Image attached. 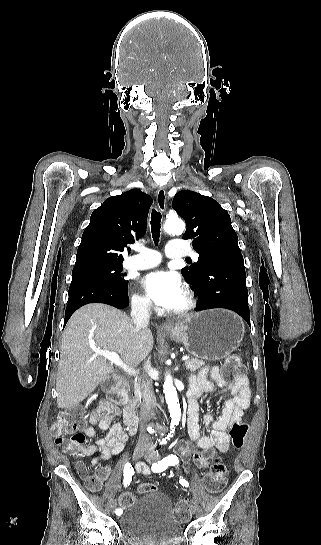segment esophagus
I'll use <instances>...</instances> for the list:
<instances>
[{"label":"esophagus","instance_id":"esophagus-1","mask_svg":"<svg viewBox=\"0 0 321 545\" xmlns=\"http://www.w3.org/2000/svg\"><path fill=\"white\" fill-rule=\"evenodd\" d=\"M156 200L158 204V208L161 212H164L166 209V190L165 187H159L157 194H156ZM161 329H174L175 326L171 322L162 323L160 325Z\"/></svg>","mask_w":321,"mask_h":545}]
</instances>
